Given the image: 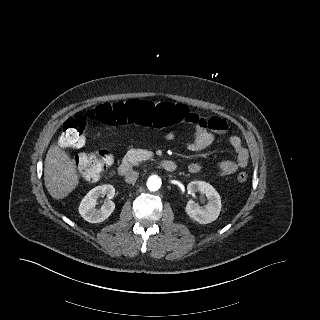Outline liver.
Masks as SVG:
<instances>
[{"instance_id":"obj_1","label":"liver","mask_w":320,"mask_h":320,"mask_svg":"<svg viewBox=\"0 0 320 320\" xmlns=\"http://www.w3.org/2000/svg\"><path fill=\"white\" fill-rule=\"evenodd\" d=\"M45 186L52 198L67 197L79 183L72 161L58 146H51L44 163Z\"/></svg>"}]
</instances>
